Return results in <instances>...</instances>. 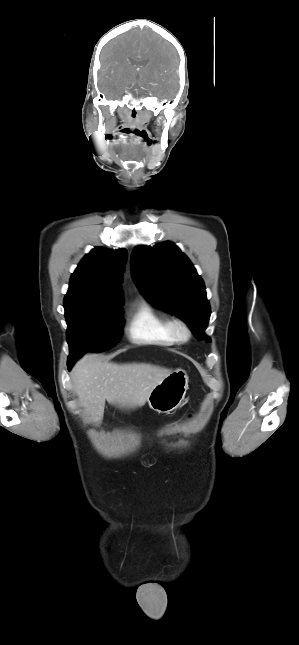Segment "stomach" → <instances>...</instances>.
I'll return each instance as SVG.
<instances>
[{"label": "stomach", "instance_id": "1", "mask_svg": "<svg viewBox=\"0 0 299 645\" xmlns=\"http://www.w3.org/2000/svg\"><path fill=\"white\" fill-rule=\"evenodd\" d=\"M188 381L185 370L171 372L152 389L147 398L150 408L158 413H170L177 409L185 398Z\"/></svg>", "mask_w": 299, "mask_h": 645}]
</instances>
